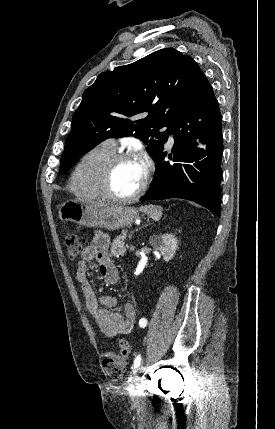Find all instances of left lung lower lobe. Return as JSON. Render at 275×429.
Segmentation results:
<instances>
[{
	"instance_id": "1",
	"label": "left lung lower lobe",
	"mask_w": 275,
	"mask_h": 429,
	"mask_svg": "<svg viewBox=\"0 0 275 429\" xmlns=\"http://www.w3.org/2000/svg\"><path fill=\"white\" fill-rule=\"evenodd\" d=\"M170 133L175 140L171 161L165 160L163 147L154 158V179L140 201L184 198L220 216L222 116L203 72ZM197 138L206 142V150L197 147Z\"/></svg>"
}]
</instances>
